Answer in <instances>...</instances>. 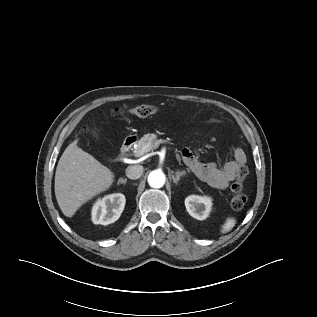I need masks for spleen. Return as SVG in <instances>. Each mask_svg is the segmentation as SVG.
I'll return each instance as SVG.
<instances>
[{"label":"spleen","instance_id":"1","mask_svg":"<svg viewBox=\"0 0 317 317\" xmlns=\"http://www.w3.org/2000/svg\"><path fill=\"white\" fill-rule=\"evenodd\" d=\"M236 224V219L233 217L226 218L224 224L221 226L220 232L226 234L230 232Z\"/></svg>","mask_w":317,"mask_h":317}]
</instances>
